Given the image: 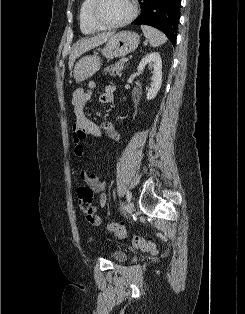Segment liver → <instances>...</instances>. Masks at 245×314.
<instances>
[{
    "instance_id": "obj_1",
    "label": "liver",
    "mask_w": 245,
    "mask_h": 314,
    "mask_svg": "<svg viewBox=\"0 0 245 314\" xmlns=\"http://www.w3.org/2000/svg\"><path fill=\"white\" fill-rule=\"evenodd\" d=\"M113 32L109 33H101L97 36L91 37V38H85L77 41V43L74 45L70 56H69V70L72 69L75 60L80 57L85 52L98 47L108 41V39L113 35Z\"/></svg>"
}]
</instances>
